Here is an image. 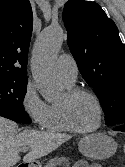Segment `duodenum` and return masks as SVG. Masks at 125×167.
I'll list each match as a JSON object with an SVG mask.
<instances>
[{
  "label": "duodenum",
  "mask_w": 125,
  "mask_h": 167,
  "mask_svg": "<svg viewBox=\"0 0 125 167\" xmlns=\"http://www.w3.org/2000/svg\"><path fill=\"white\" fill-rule=\"evenodd\" d=\"M18 167H28V164H20Z\"/></svg>",
  "instance_id": "410a0bca"
}]
</instances>
